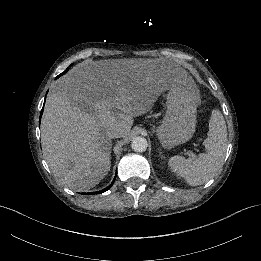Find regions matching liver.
<instances>
[{"instance_id": "liver-1", "label": "liver", "mask_w": 261, "mask_h": 261, "mask_svg": "<svg viewBox=\"0 0 261 261\" xmlns=\"http://www.w3.org/2000/svg\"><path fill=\"white\" fill-rule=\"evenodd\" d=\"M195 86L185 71L168 75L157 65H102L71 69L47 97L41 142L54 177L75 191L98 185L111 168V138L128 137L133 117L147 114L170 88Z\"/></svg>"}]
</instances>
